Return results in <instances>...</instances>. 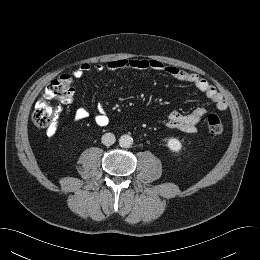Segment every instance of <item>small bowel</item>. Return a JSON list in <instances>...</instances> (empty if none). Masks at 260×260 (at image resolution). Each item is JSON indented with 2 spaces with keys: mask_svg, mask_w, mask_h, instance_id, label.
<instances>
[{
  "mask_svg": "<svg viewBox=\"0 0 260 260\" xmlns=\"http://www.w3.org/2000/svg\"><path fill=\"white\" fill-rule=\"evenodd\" d=\"M91 66L88 63H82L73 71V76L76 79L81 78L90 70ZM96 70L116 71L123 69H134L140 71H155L166 73L169 76L189 84H192L198 91L206 95V97L221 111L227 109V102L224 97L210 84L207 80L195 73L188 72L176 66L164 65L162 62L149 58H125L108 61L105 65H96ZM206 110L203 107H198L189 113H180L177 111L171 112L164 121V125L168 128L178 129L186 133H195L197 124L205 115ZM88 117V111L84 107H79L75 114L74 120L81 122ZM95 122L98 126L104 127L109 123V117L103 109L95 116Z\"/></svg>",
  "mask_w": 260,
  "mask_h": 260,
  "instance_id": "c3829d8e",
  "label": "small bowel"
}]
</instances>
